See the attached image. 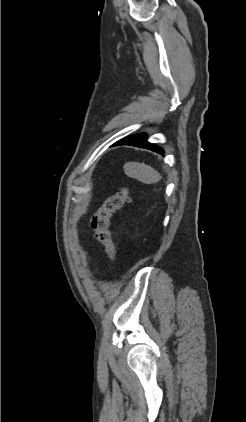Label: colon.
<instances>
[{
  "mask_svg": "<svg viewBox=\"0 0 246 422\" xmlns=\"http://www.w3.org/2000/svg\"><path fill=\"white\" fill-rule=\"evenodd\" d=\"M128 199V190L126 188L120 189L117 193L107 197L90 219V226L93 229L95 239L105 247L108 257L113 261L117 260L118 249L111 230V219L113 214L121 209Z\"/></svg>",
  "mask_w": 246,
  "mask_h": 422,
  "instance_id": "obj_1",
  "label": "colon"
}]
</instances>
